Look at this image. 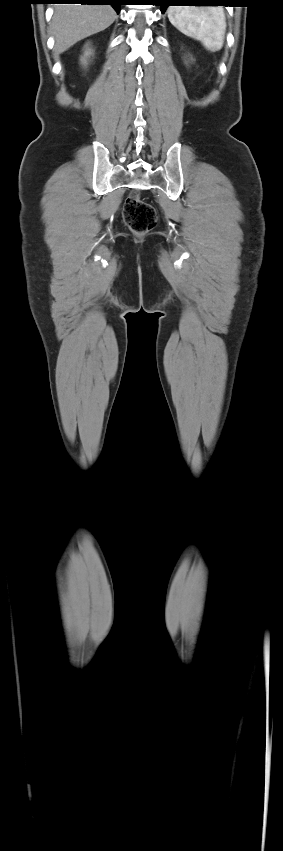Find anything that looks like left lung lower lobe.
<instances>
[{"instance_id":"1","label":"left lung lower lobe","mask_w":283,"mask_h":851,"mask_svg":"<svg viewBox=\"0 0 283 851\" xmlns=\"http://www.w3.org/2000/svg\"><path fill=\"white\" fill-rule=\"evenodd\" d=\"M161 6L162 13L165 12L170 5H224L227 0H157Z\"/></svg>"}]
</instances>
